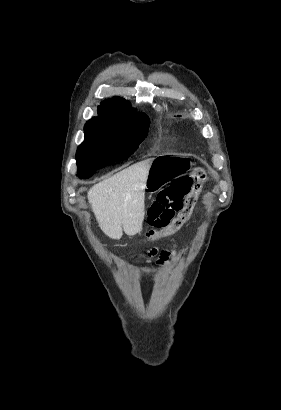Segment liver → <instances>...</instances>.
Wrapping results in <instances>:
<instances>
[{"label":"liver","instance_id":"1","mask_svg":"<svg viewBox=\"0 0 281 410\" xmlns=\"http://www.w3.org/2000/svg\"><path fill=\"white\" fill-rule=\"evenodd\" d=\"M153 159L135 163L95 184L87 197L101 230L119 240L123 231L134 236L141 232L145 216V188Z\"/></svg>","mask_w":281,"mask_h":410}]
</instances>
